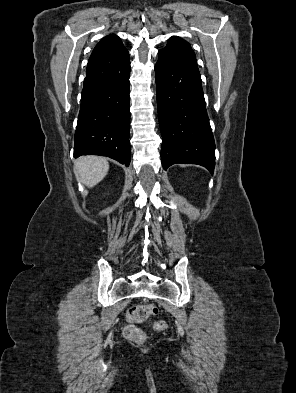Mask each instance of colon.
<instances>
[{
  "label": "colon",
  "mask_w": 296,
  "mask_h": 393,
  "mask_svg": "<svg viewBox=\"0 0 296 393\" xmlns=\"http://www.w3.org/2000/svg\"><path fill=\"white\" fill-rule=\"evenodd\" d=\"M158 312V308L154 304H138L130 307L127 310V320L130 322L143 323L146 322L152 315ZM156 330H162L166 328L164 321L155 323ZM124 333L127 338L135 342H144L146 340V334L143 330L133 325H128L124 329Z\"/></svg>",
  "instance_id": "obj_1"
}]
</instances>
